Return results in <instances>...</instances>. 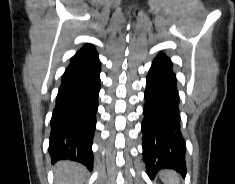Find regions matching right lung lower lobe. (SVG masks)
<instances>
[{"label":"right lung lower lobe","mask_w":235,"mask_h":184,"mask_svg":"<svg viewBox=\"0 0 235 184\" xmlns=\"http://www.w3.org/2000/svg\"><path fill=\"white\" fill-rule=\"evenodd\" d=\"M98 53L78 51L62 78L51 119L49 153L52 161L70 159L90 170L92 142L100 90Z\"/></svg>","instance_id":"1"}]
</instances>
